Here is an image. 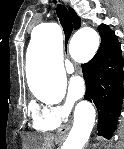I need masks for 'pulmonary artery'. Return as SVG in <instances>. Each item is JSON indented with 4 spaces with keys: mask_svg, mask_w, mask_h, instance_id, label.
<instances>
[{
    "mask_svg": "<svg viewBox=\"0 0 124 149\" xmlns=\"http://www.w3.org/2000/svg\"><path fill=\"white\" fill-rule=\"evenodd\" d=\"M65 67H66V71H67L68 73H72V72L74 71V66H73V64L71 63V61H69V60H67V61L65 62Z\"/></svg>",
    "mask_w": 124,
    "mask_h": 149,
    "instance_id": "pulmonary-artery-1",
    "label": "pulmonary artery"
}]
</instances>
